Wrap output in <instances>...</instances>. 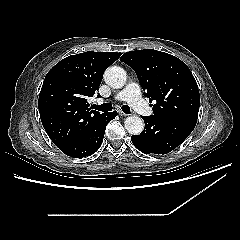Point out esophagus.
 <instances>
[{"label":"esophagus","instance_id":"1","mask_svg":"<svg viewBox=\"0 0 240 240\" xmlns=\"http://www.w3.org/2000/svg\"><path fill=\"white\" fill-rule=\"evenodd\" d=\"M118 114H119L120 116H122V117H126V116H127V114L124 113V112H122L121 110L118 111Z\"/></svg>","mask_w":240,"mask_h":240}]
</instances>
